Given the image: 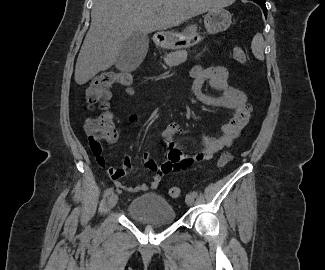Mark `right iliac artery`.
<instances>
[{
	"label": "right iliac artery",
	"mask_w": 325,
	"mask_h": 270,
	"mask_svg": "<svg viewBox=\"0 0 325 270\" xmlns=\"http://www.w3.org/2000/svg\"><path fill=\"white\" fill-rule=\"evenodd\" d=\"M113 191H114V189H113L112 187H111V188H108V189L105 191L104 196L106 197V196L111 195V194L113 193Z\"/></svg>",
	"instance_id": "82829eb1"
}]
</instances>
